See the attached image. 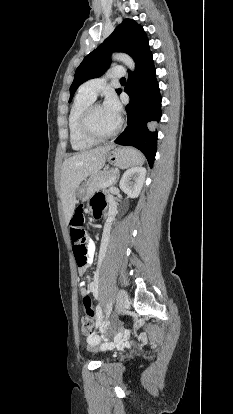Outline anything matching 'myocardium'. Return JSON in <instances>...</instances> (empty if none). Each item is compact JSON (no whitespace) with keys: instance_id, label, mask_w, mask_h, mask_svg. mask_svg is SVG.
Returning a JSON list of instances; mask_svg holds the SVG:
<instances>
[{"instance_id":"f54148a6","label":"myocardium","mask_w":233,"mask_h":414,"mask_svg":"<svg viewBox=\"0 0 233 414\" xmlns=\"http://www.w3.org/2000/svg\"><path fill=\"white\" fill-rule=\"evenodd\" d=\"M100 106L99 103L92 101L89 105L86 106V108L83 110L80 119H79V130L81 132V134L88 140L93 141V142H102V141H106L112 137H114L115 135L118 134V132L121 129L122 126V120L120 118H118V122L115 126V128L108 134L105 135H99L97 133H95L91 127L90 124V119H91V115L93 110L97 107Z\"/></svg>"}]
</instances>
